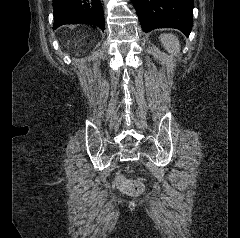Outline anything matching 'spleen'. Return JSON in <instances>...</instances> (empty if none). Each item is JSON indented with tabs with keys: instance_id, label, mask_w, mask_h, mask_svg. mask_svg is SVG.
I'll return each mask as SVG.
<instances>
[{
	"instance_id": "spleen-1",
	"label": "spleen",
	"mask_w": 240,
	"mask_h": 238,
	"mask_svg": "<svg viewBox=\"0 0 240 238\" xmlns=\"http://www.w3.org/2000/svg\"><path fill=\"white\" fill-rule=\"evenodd\" d=\"M160 39H161L163 46L169 53H171V54L179 53L180 44H179L178 38L175 35L162 34L160 36Z\"/></svg>"
}]
</instances>
